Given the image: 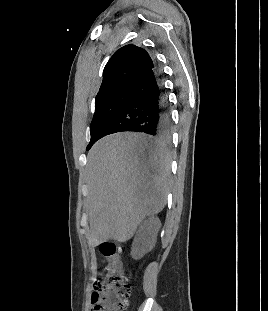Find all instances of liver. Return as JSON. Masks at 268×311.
<instances>
[{
	"label": "liver",
	"instance_id": "obj_1",
	"mask_svg": "<svg viewBox=\"0 0 268 311\" xmlns=\"http://www.w3.org/2000/svg\"><path fill=\"white\" fill-rule=\"evenodd\" d=\"M170 174L169 153L142 134L116 133L97 141L85 168L89 244L132 238L146 216L164 208Z\"/></svg>",
	"mask_w": 268,
	"mask_h": 311
}]
</instances>
